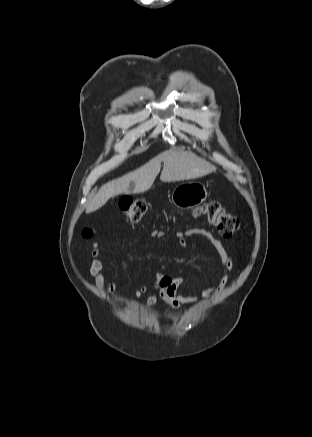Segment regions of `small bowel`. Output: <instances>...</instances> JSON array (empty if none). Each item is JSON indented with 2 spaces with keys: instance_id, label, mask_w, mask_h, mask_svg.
I'll return each instance as SVG.
<instances>
[{
  "instance_id": "1",
  "label": "small bowel",
  "mask_w": 312,
  "mask_h": 437,
  "mask_svg": "<svg viewBox=\"0 0 312 437\" xmlns=\"http://www.w3.org/2000/svg\"><path fill=\"white\" fill-rule=\"evenodd\" d=\"M152 237H163L164 233L161 230H153L151 232ZM176 238L178 239L181 246L186 245V237L187 236H204L206 237L213 247L218 252L221 261V270L217 282L202 290L199 294L196 295H187L179 292L181 288L186 285V280L182 277H168L162 273L156 274V282L153 290L149 293L146 304L149 308H153L158 300H162L166 303V305L171 310H176L181 305L189 304L193 301L202 298H209L217 293H219L226 286L230 273L233 268V262L231 256L226 252L220 241H218L210 232L193 228L188 229L186 231H177L175 233ZM102 246L95 242L93 244L92 250V262L89 269L90 276L94 279L96 286L99 290H106L110 295L116 296V284L113 280L106 281L104 277V263L102 260ZM149 292V288L146 285H142L139 288L135 289L134 296L140 297ZM135 304L134 301L131 302Z\"/></svg>"
}]
</instances>
